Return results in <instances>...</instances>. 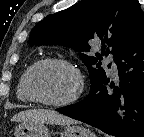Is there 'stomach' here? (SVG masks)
I'll list each match as a JSON object with an SVG mask.
<instances>
[{"mask_svg":"<svg viewBox=\"0 0 144 137\" xmlns=\"http://www.w3.org/2000/svg\"><path fill=\"white\" fill-rule=\"evenodd\" d=\"M65 137H95L88 129L77 126H65ZM15 137H50L48 128L43 123H21L14 129Z\"/></svg>","mask_w":144,"mask_h":137,"instance_id":"1","label":"stomach"}]
</instances>
